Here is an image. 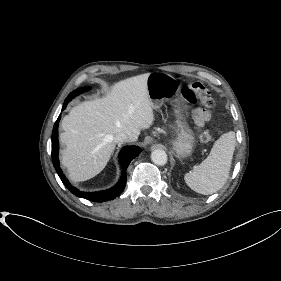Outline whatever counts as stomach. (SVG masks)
<instances>
[{"label":"stomach","instance_id":"stomach-1","mask_svg":"<svg viewBox=\"0 0 281 281\" xmlns=\"http://www.w3.org/2000/svg\"><path fill=\"white\" fill-rule=\"evenodd\" d=\"M177 87L178 82L172 75L165 72L150 73L147 89L152 108L161 107L165 101L177 102V99L173 97ZM175 114V139L172 141V147L178 157L186 158L193 150L195 136L185 121L179 106H176Z\"/></svg>","mask_w":281,"mask_h":281}]
</instances>
